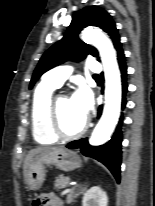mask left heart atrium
I'll return each mask as SVG.
<instances>
[{"mask_svg":"<svg viewBox=\"0 0 155 206\" xmlns=\"http://www.w3.org/2000/svg\"><path fill=\"white\" fill-rule=\"evenodd\" d=\"M72 103L77 110L78 114L86 117L90 111L92 99L90 92L85 87H80L71 97Z\"/></svg>","mask_w":155,"mask_h":206,"instance_id":"1","label":"left heart atrium"}]
</instances>
